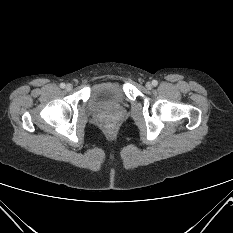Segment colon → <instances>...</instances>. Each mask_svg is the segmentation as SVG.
Segmentation results:
<instances>
[{
  "instance_id": "obj_1",
  "label": "colon",
  "mask_w": 233,
  "mask_h": 233,
  "mask_svg": "<svg viewBox=\"0 0 233 233\" xmlns=\"http://www.w3.org/2000/svg\"><path fill=\"white\" fill-rule=\"evenodd\" d=\"M113 129H114V127H113V125H112L111 123H107V124L105 125V131H106L107 133H112V132H113Z\"/></svg>"
}]
</instances>
